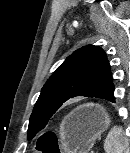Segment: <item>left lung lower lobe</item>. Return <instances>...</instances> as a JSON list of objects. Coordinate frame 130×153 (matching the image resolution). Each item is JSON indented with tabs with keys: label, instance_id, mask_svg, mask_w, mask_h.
Here are the masks:
<instances>
[{
	"label": "left lung lower lobe",
	"instance_id": "obj_1",
	"mask_svg": "<svg viewBox=\"0 0 130 153\" xmlns=\"http://www.w3.org/2000/svg\"><path fill=\"white\" fill-rule=\"evenodd\" d=\"M101 99H105L108 100L110 102H115V97H114V85L112 83V78L111 81L106 89V91L104 92V94L102 95Z\"/></svg>",
	"mask_w": 130,
	"mask_h": 153
}]
</instances>
